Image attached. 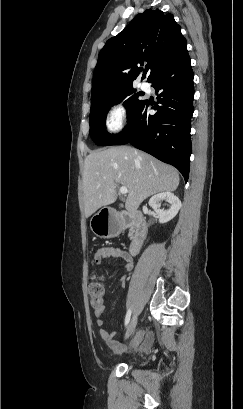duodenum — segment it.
I'll list each match as a JSON object with an SVG mask.
<instances>
[{
    "label": "duodenum",
    "instance_id": "1",
    "mask_svg": "<svg viewBox=\"0 0 243 409\" xmlns=\"http://www.w3.org/2000/svg\"><path fill=\"white\" fill-rule=\"evenodd\" d=\"M122 223L124 225L133 224L134 232L132 235V242L129 247V252L132 255H136L142 244V240L147 232V225L144 216L140 212L126 213L122 217Z\"/></svg>",
    "mask_w": 243,
    "mask_h": 409
}]
</instances>
